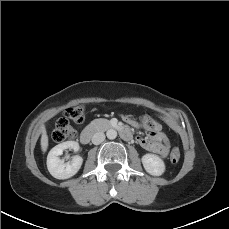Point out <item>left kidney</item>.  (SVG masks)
<instances>
[{"label":"left kidney","instance_id":"obj_1","mask_svg":"<svg viewBox=\"0 0 229 229\" xmlns=\"http://www.w3.org/2000/svg\"><path fill=\"white\" fill-rule=\"evenodd\" d=\"M142 164L144 169L153 176H161L165 171L163 160L155 154H145L142 157Z\"/></svg>","mask_w":229,"mask_h":229}]
</instances>
